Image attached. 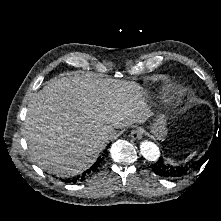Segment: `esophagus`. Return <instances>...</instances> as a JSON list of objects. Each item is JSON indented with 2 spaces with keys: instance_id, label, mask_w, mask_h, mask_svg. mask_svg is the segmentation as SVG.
I'll return each mask as SVG.
<instances>
[{
  "instance_id": "obj_1",
  "label": "esophagus",
  "mask_w": 221,
  "mask_h": 221,
  "mask_svg": "<svg viewBox=\"0 0 221 221\" xmlns=\"http://www.w3.org/2000/svg\"><path fill=\"white\" fill-rule=\"evenodd\" d=\"M131 137L136 140H140L143 137V130L138 127L131 131Z\"/></svg>"
}]
</instances>
